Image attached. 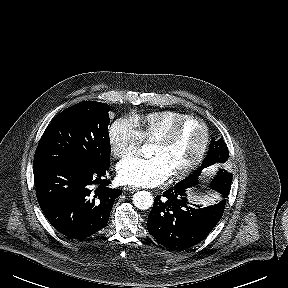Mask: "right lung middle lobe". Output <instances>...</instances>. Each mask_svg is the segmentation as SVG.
I'll return each mask as SVG.
<instances>
[{"instance_id": "dd1d6c3e", "label": "right lung middle lobe", "mask_w": 288, "mask_h": 288, "mask_svg": "<svg viewBox=\"0 0 288 288\" xmlns=\"http://www.w3.org/2000/svg\"><path fill=\"white\" fill-rule=\"evenodd\" d=\"M109 110L105 103L83 101L58 114L42 135L34 168L65 165L92 170L109 164Z\"/></svg>"}]
</instances>
